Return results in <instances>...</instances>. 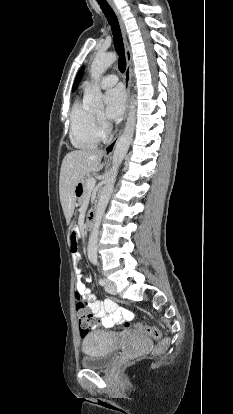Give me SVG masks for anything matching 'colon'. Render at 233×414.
Masks as SVG:
<instances>
[{
  "label": "colon",
  "mask_w": 233,
  "mask_h": 414,
  "mask_svg": "<svg viewBox=\"0 0 233 414\" xmlns=\"http://www.w3.org/2000/svg\"><path fill=\"white\" fill-rule=\"evenodd\" d=\"M68 243L70 251H78V242H79V235L78 230L75 224H71L68 227ZM76 298H77V304H76V314L79 324V331L80 335L84 337L90 329H92L95 326V319L94 316L90 310L89 304L87 300L80 294L76 292ZM125 328H134L148 336H150L153 339H160L161 338V332L160 330L155 326H149L142 323H135L132 324L130 322H125L124 324Z\"/></svg>",
  "instance_id": "colon-1"
}]
</instances>
